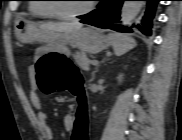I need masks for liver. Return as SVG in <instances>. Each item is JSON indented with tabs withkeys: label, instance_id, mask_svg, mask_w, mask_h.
Masks as SVG:
<instances>
[{
	"label": "liver",
	"instance_id": "1",
	"mask_svg": "<svg viewBox=\"0 0 182 140\" xmlns=\"http://www.w3.org/2000/svg\"><path fill=\"white\" fill-rule=\"evenodd\" d=\"M82 24L78 21L60 22V23H43L41 28L46 32H66L70 33L82 28Z\"/></svg>",
	"mask_w": 182,
	"mask_h": 140
}]
</instances>
